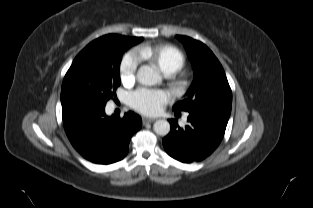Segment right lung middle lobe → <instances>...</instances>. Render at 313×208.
<instances>
[{
  "label": "right lung middle lobe",
  "instance_id": "dd1d6c3e",
  "mask_svg": "<svg viewBox=\"0 0 313 208\" xmlns=\"http://www.w3.org/2000/svg\"><path fill=\"white\" fill-rule=\"evenodd\" d=\"M130 46L131 43L109 39L94 52L75 59L65 75L61 95L73 92L106 104L120 85L122 54Z\"/></svg>",
  "mask_w": 313,
  "mask_h": 208
}]
</instances>
